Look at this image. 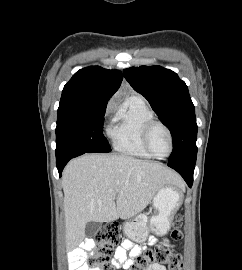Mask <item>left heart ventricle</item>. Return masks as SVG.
Returning <instances> with one entry per match:
<instances>
[{
	"mask_svg": "<svg viewBox=\"0 0 242 270\" xmlns=\"http://www.w3.org/2000/svg\"><path fill=\"white\" fill-rule=\"evenodd\" d=\"M149 144L156 155L165 156L170 147L168 134L162 127L155 126L150 133Z\"/></svg>",
	"mask_w": 242,
	"mask_h": 270,
	"instance_id": "obj_1",
	"label": "left heart ventricle"
}]
</instances>
